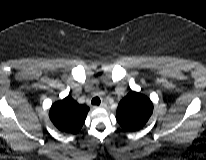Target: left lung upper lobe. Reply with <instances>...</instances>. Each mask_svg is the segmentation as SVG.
Returning a JSON list of instances; mask_svg holds the SVG:
<instances>
[{"mask_svg": "<svg viewBox=\"0 0 206 160\" xmlns=\"http://www.w3.org/2000/svg\"><path fill=\"white\" fill-rule=\"evenodd\" d=\"M152 112L151 100L141 93L131 91L119 102L116 119L125 131H138L147 123Z\"/></svg>", "mask_w": 206, "mask_h": 160, "instance_id": "5c2ea615", "label": "left lung upper lobe"}]
</instances>
